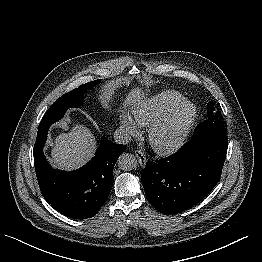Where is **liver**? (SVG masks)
Masks as SVG:
<instances>
[{"label":"liver","instance_id":"6515ba94","mask_svg":"<svg viewBox=\"0 0 262 262\" xmlns=\"http://www.w3.org/2000/svg\"><path fill=\"white\" fill-rule=\"evenodd\" d=\"M139 88L132 89L126 95L123 105L136 106L144 100ZM96 139L90 129L76 124L67 133L58 135L52 145L53 166L62 170H72L86 163L94 153Z\"/></svg>","mask_w":262,"mask_h":262}]
</instances>
